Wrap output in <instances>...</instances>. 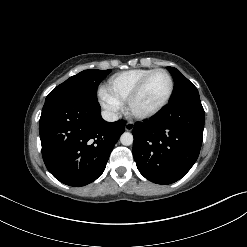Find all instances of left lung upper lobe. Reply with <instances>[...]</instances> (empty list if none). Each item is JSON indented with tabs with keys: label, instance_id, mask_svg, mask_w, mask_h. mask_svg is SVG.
<instances>
[{
	"label": "left lung upper lobe",
	"instance_id": "5c2ea615",
	"mask_svg": "<svg viewBox=\"0 0 247 247\" xmlns=\"http://www.w3.org/2000/svg\"><path fill=\"white\" fill-rule=\"evenodd\" d=\"M167 69L172 74L175 82V91L170 103L187 98L199 97L197 88L179 70L174 67H167Z\"/></svg>",
	"mask_w": 247,
	"mask_h": 247
}]
</instances>
